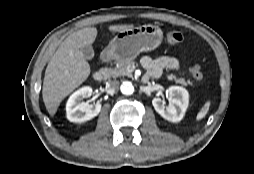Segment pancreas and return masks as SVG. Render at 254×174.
I'll return each instance as SVG.
<instances>
[{
  "mask_svg": "<svg viewBox=\"0 0 254 174\" xmlns=\"http://www.w3.org/2000/svg\"><path fill=\"white\" fill-rule=\"evenodd\" d=\"M134 62L132 60H120L117 62V66L115 68H104L103 71L107 74L108 77H119V76H128L132 77V73L128 70L129 66H132ZM169 80H174L176 83L181 85H192L190 80H186L185 78H178L175 74L167 75Z\"/></svg>",
  "mask_w": 254,
  "mask_h": 174,
  "instance_id": "pancreas-1",
  "label": "pancreas"
}]
</instances>
